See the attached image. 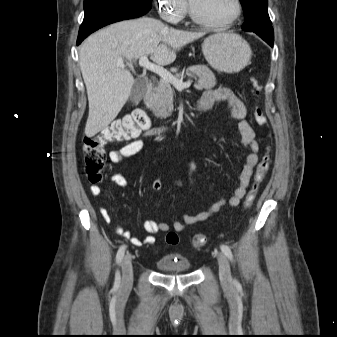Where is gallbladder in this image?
<instances>
[{"label":"gallbladder","instance_id":"obj_1","mask_svg":"<svg viewBox=\"0 0 337 337\" xmlns=\"http://www.w3.org/2000/svg\"><path fill=\"white\" fill-rule=\"evenodd\" d=\"M145 88V81L143 79H136L130 93L131 100L138 102L144 95Z\"/></svg>","mask_w":337,"mask_h":337}]
</instances>
